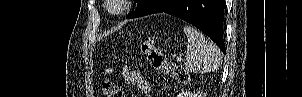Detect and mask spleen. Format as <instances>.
<instances>
[{
  "label": "spleen",
  "mask_w": 302,
  "mask_h": 97,
  "mask_svg": "<svg viewBox=\"0 0 302 97\" xmlns=\"http://www.w3.org/2000/svg\"><path fill=\"white\" fill-rule=\"evenodd\" d=\"M188 38L185 69L191 73H207L217 70L222 63L220 49L192 26H185Z\"/></svg>",
  "instance_id": "obj_1"
}]
</instances>
